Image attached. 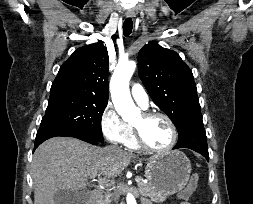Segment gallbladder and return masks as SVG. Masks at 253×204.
<instances>
[{
	"label": "gallbladder",
	"mask_w": 253,
	"mask_h": 204,
	"mask_svg": "<svg viewBox=\"0 0 253 204\" xmlns=\"http://www.w3.org/2000/svg\"><path fill=\"white\" fill-rule=\"evenodd\" d=\"M90 197V191L59 190L54 195V204H84Z\"/></svg>",
	"instance_id": "gallbladder-1"
}]
</instances>
